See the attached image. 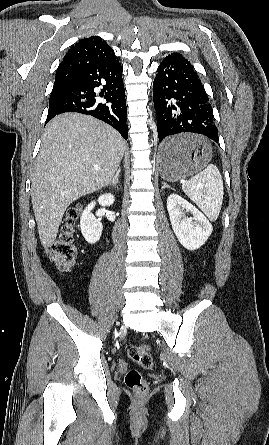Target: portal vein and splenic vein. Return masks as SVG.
<instances>
[{"label":"portal vein and splenic vein","mask_w":269,"mask_h":445,"mask_svg":"<svg viewBox=\"0 0 269 445\" xmlns=\"http://www.w3.org/2000/svg\"><path fill=\"white\" fill-rule=\"evenodd\" d=\"M94 169L95 170H99V166H94Z\"/></svg>","instance_id":"obj_1"}]
</instances>
